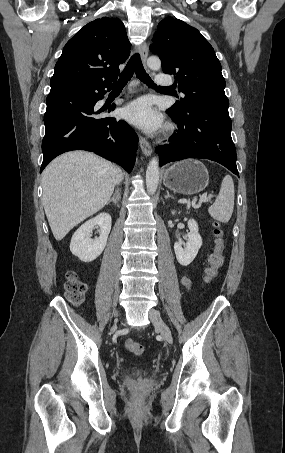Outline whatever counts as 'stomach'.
Listing matches in <instances>:
<instances>
[{
  "instance_id": "0dacf381",
  "label": "stomach",
  "mask_w": 285,
  "mask_h": 453,
  "mask_svg": "<svg viewBox=\"0 0 285 453\" xmlns=\"http://www.w3.org/2000/svg\"><path fill=\"white\" fill-rule=\"evenodd\" d=\"M163 183L173 192L193 195L208 186L209 173L205 165L198 160H182L165 170Z\"/></svg>"
}]
</instances>
